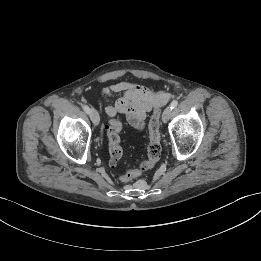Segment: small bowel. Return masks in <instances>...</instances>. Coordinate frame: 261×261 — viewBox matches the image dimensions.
<instances>
[{
  "label": "small bowel",
  "instance_id": "c3829d8e",
  "mask_svg": "<svg viewBox=\"0 0 261 261\" xmlns=\"http://www.w3.org/2000/svg\"><path fill=\"white\" fill-rule=\"evenodd\" d=\"M120 96L105 108L108 117L114 118L118 113L127 117L129 123L138 130L145 126L147 113L157 103H165L170 99L167 92L154 93L148 88L131 81H119L105 87L101 91L103 98Z\"/></svg>",
  "mask_w": 261,
  "mask_h": 261
}]
</instances>
